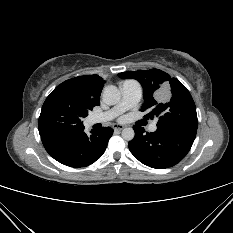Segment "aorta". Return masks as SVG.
<instances>
[{"instance_id": "1", "label": "aorta", "mask_w": 233, "mask_h": 233, "mask_svg": "<svg viewBox=\"0 0 233 233\" xmlns=\"http://www.w3.org/2000/svg\"><path fill=\"white\" fill-rule=\"evenodd\" d=\"M121 99L120 90L114 86H106L103 90V101L108 105H115ZM135 136V132L132 128H124L122 130V137L124 140L131 141Z\"/></svg>"}]
</instances>
